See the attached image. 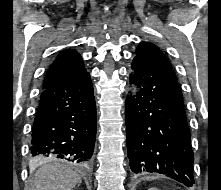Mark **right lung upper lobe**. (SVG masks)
Instances as JSON below:
<instances>
[{"label":"right lung upper lobe","instance_id":"cb5924a9","mask_svg":"<svg viewBox=\"0 0 221 190\" xmlns=\"http://www.w3.org/2000/svg\"><path fill=\"white\" fill-rule=\"evenodd\" d=\"M86 73L80 54L76 50L60 53L49 67L42 90Z\"/></svg>","mask_w":221,"mask_h":190}]
</instances>
